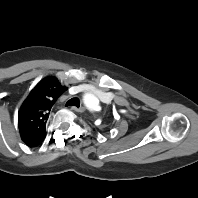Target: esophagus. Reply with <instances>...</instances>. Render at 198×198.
Instances as JSON below:
<instances>
[{"label": "esophagus", "mask_w": 198, "mask_h": 198, "mask_svg": "<svg viewBox=\"0 0 198 198\" xmlns=\"http://www.w3.org/2000/svg\"><path fill=\"white\" fill-rule=\"evenodd\" d=\"M71 109L76 111V112H84L85 111L84 106H80V107L72 106Z\"/></svg>", "instance_id": "34e87169"}]
</instances>
